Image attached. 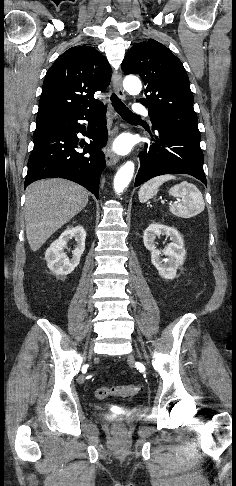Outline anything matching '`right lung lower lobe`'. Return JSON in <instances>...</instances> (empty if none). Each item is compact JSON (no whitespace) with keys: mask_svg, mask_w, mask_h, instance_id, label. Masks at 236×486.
<instances>
[{"mask_svg":"<svg viewBox=\"0 0 236 486\" xmlns=\"http://www.w3.org/2000/svg\"><path fill=\"white\" fill-rule=\"evenodd\" d=\"M105 113L106 107L102 104L87 111L38 121L25 187L36 180L60 177L84 186L98 198L100 175L106 165L100 151L108 138ZM79 120L89 122L87 131ZM79 132L91 139L89 144L79 143ZM79 145L84 148L82 153L76 151Z\"/></svg>","mask_w":236,"mask_h":486,"instance_id":"right-lung-lower-lobe-1","label":"right lung lower lobe"}]
</instances>
